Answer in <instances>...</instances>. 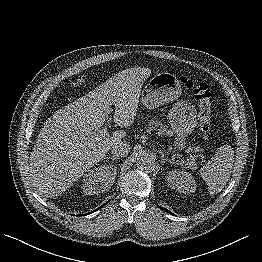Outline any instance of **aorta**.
I'll return each instance as SVG.
<instances>
[{
  "mask_svg": "<svg viewBox=\"0 0 262 262\" xmlns=\"http://www.w3.org/2000/svg\"><path fill=\"white\" fill-rule=\"evenodd\" d=\"M137 165L140 169H148L151 165L148 155L145 153H139L137 155Z\"/></svg>",
  "mask_w": 262,
  "mask_h": 262,
  "instance_id": "obj_1",
  "label": "aorta"
}]
</instances>
